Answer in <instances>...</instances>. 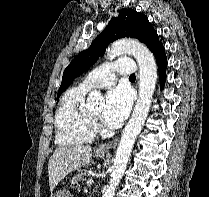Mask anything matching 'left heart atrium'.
<instances>
[{
    "label": "left heart atrium",
    "mask_w": 209,
    "mask_h": 197,
    "mask_svg": "<svg viewBox=\"0 0 209 197\" xmlns=\"http://www.w3.org/2000/svg\"><path fill=\"white\" fill-rule=\"evenodd\" d=\"M132 106V95L128 88L118 86L106 95L102 110L104 122L112 127L120 125L128 116Z\"/></svg>",
    "instance_id": "obj_1"
}]
</instances>
